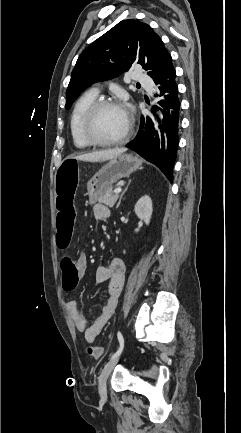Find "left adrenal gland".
<instances>
[{"label": "left adrenal gland", "mask_w": 241, "mask_h": 433, "mask_svg": "<svg viewBox=\"0 0 241 433\" xmlns=\"http://www.w3.org/2000/svg\"><path fill=\"white\" fill-rule=\"evenodd\" d=\"M130 183H131V180H129V182H128V184H127L126 188H125V190H124V191H123V193L121 194V196H120V199H119V202H118V204H117V207H116V208H118V207H119V205H120V203H121V199H122L123 195L125 194V192L127 191L128 187H129V185H130Z\"/></svg>", "instance_id": "obj_1"}]
</instances>
